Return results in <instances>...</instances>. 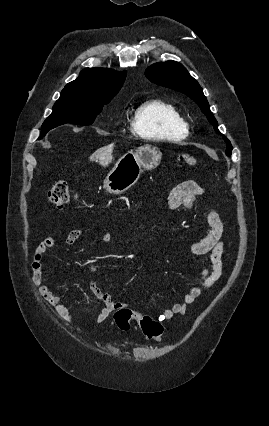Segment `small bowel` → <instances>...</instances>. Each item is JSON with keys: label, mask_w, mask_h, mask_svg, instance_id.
Listing matches in <instances>:
<instances>
[{"label": "small bowel", "mask_w": 269, "mask_h": 426, "mask_svg": "<svg viewBox=\"0 0 269 426\" xmlns=\"http://www.w3.org/2000/svg\"><path fill=\"white\" fill-rule=\"evenodd\" d=\"M202 194V187L195 181H183L169 193L167 197L168 208L172 211L178 210L181 207L192 210L196 207L197 198ZM205 222L209 227L208 234L202 239L193 242L189 247L190 253L199 260L201 266L198 280L184 295L182 301L174 303L170 308L164 310L157 316L159 321L164 322L176 315L184 314L188 306L193 304L202 293L210 289L222 275L224 243L221 239L224 233V224L215 211H207L205 213ZM90 229L91 227H86L71 231L66 238V244L73 245ZM111 239L112 234L109 231H105L101 235V240L103 242H110ZM54 245V239L47 237L36 247L31 262L33 271L32 282L34 286L37 287L42 298L54 308L55 312L60 316H65L68 310L63 304L62 297L55 294L49 285L42 283L43 258L45 253L53 248ZM207 254H209V263L204 259V256ZM90 270L95 271L96 266L91 264ZM91 290L104 305L96 318L98 323L104 322L112 312L125 305L121 302L114 301L96 281L92 282ZM142 316V314L135 312L134 320L138 322Z\"/></svg>", "instance_id": "obj_1"}]
</instances>
